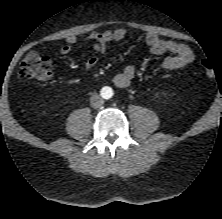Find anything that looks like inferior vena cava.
I'll return each instance as SVG.
<instances>
[{"label": "inferior vena cava", "instance_id": "inferior-vena-cava-1", "mask_svg": "<svg viewBox=\"0 0 222 219\" xmlns=\"http://www.w3.org/2000/svg\"><path fill=\"white\" fill-rule=\"evenodd\" d=\"M104 100L102 99V97L98 94H93L90 97V104L93 108H99L103 105Z\"/></svg>", "mask_w": 222, "mask_h": 219}]
</instances>
